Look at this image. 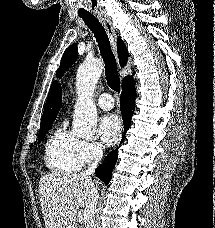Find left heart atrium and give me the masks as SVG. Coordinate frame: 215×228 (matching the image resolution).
I'll return each mask as SVG.
<instances>
[{
    "label": "left heart atrium",
    "mask_w": 215,
    "mask_h": 228,
    "mask_svg": "<svg viewBox=\"0 0 215 228\" xmlns=\"http://www.w3.org/2000/svg\"><path fill=\"white\" fill-rule=\"evenodd\" d=\"M98 132L102 142L110 146L121 137L122 124L116 115L106 114L99 121Z\"/></svg>",
    "instance_id": "1"
}]
</instances>
